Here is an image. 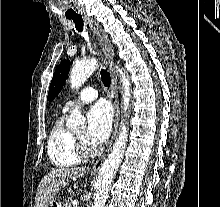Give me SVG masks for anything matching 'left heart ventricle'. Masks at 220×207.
<instances>
[{"label":"left heart ventricle","instance_id":"left-heart-ventricle-1","mask_svg":"<svg viewBox=\"0 0 220 207\" xmlns=\"http://www.w3.org/2000/svg\"><path fill=\"white\" fill-rule=\"evenodd\" d=\"M75 135H76L78 138H80L81 140H83L84 142H86L89 147H92V146L86 141L85 132H84V131H79V132L75 133Z\"/></svg>","mask_w":220,"mask_h":207}]
</instances>
